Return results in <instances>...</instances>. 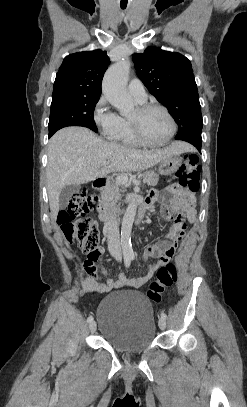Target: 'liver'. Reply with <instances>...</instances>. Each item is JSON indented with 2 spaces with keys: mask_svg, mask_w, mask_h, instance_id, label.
Returning a JSON list of instances; mask_svg holds the SVG:
<instances>
[{
  "mask_svg": "<svg viewBox=\"0 0 247 407\" xmlns=\"http://www.w3.org/2000/svg\"><path fill=\"white\" fill-rule=\"evenodd\" d=\"M190 149L187 143L174 142L163 149L139 150L106 142L84 127L59 130L48 145L47 190L51 219L57 217L59 196L65 186L88 183L112 172L148 169L166 157ZM103 162L108 164L104 166Z\"/></svg>",
  "mask_w": 247,
  "mask_h": 407,
  "instance_id": "liver-1",
  "label": "liver"
}]
</instances>
